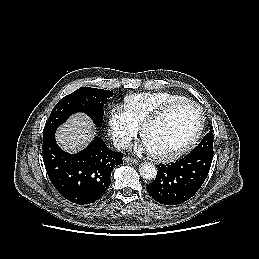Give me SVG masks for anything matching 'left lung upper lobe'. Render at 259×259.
<instances>
[{
  "label": "left lung upper lobe",
  "mask_w": 259,
  "mask_h": 259,
  "mask_svg": "<svg viewBox=\"0 0 259 259\" xmlns=\"http://www.w3.org/2000/svg\"><path fill=\"white\" fill-rule=\"evenodd\" d=\"M213 140L214 136L213 133L210 131L203 137L202 141L199 143L197 147H195V149L192 152L213 155Z\"/></svg>",
  "instance_id": "left-lung-upper-lobe-1"
}]
</instances>
